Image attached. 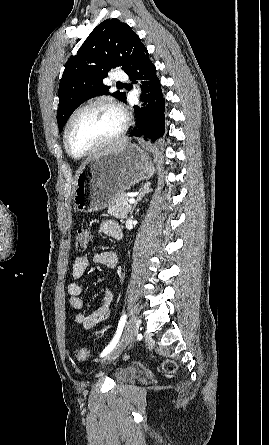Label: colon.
I'll use <instances>...</instances> for the list:
<instances>
[{
    "label": "colon",
    "mask_w": 269,
    "mask_h": 445,
    "mask_svg": "<svg viewBox=\"0 0 269 445\" xmlns=\"http://www.w3.org/2000/svg\"><path fill=\"white\" fill-rule=\"evenodd\" d=\"M91 240V231L88 228H80L76 231L74 236L75 249L78 252L84 251L89 245ZM90 352L87 348H78L75 351L76 358L78 360H85L88 358ZM162 369L167 373H173L176 371L177 366L172 361H164Z\"/></svg>",
    "instance_id": "1"
}]
</instances>
